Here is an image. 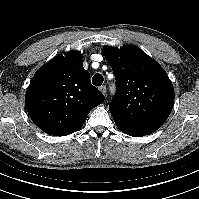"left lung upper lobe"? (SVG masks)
<instances>
[{
	"label": "left lung upper lobe",
	"instance_id": "1",
	"mask_svg": "<svg viewBox=\"0 0 199 199\" xmlns=\"http://www.w3.org/2000/svg\"><path fill=\"white\" fill-rule=\"evenodd\" d=\"M103 53L117 81V92L109 105L115 123L144 135L155 132L174 104V89L167 73L138 47L104 46Z\"/></svg>",
	"mask_w": 199,
	"mask_h": 199
}]
</instances>
